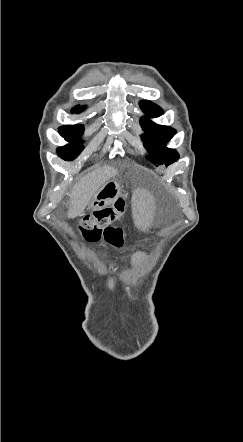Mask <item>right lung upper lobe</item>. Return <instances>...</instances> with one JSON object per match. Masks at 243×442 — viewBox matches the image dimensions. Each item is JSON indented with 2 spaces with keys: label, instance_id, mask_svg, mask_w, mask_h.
I'll use <instances>...</instances> for the list:
<instances>
[{
  "label": "right lung upper lobe",
  "instance_id": "cb5924a9",
  "mask_svg": "<svg viewBox=\"0 0 243 442\" xmlns=\"http://www.w3.org/2000/svg\"><path fill=\"white\" fill-rule=\"evenodd\" d=\"M82 110H83V108H79L78 106H75V107L72 109V112H75V111L80 112V111H82Z\"/></svg>",
  "mask_w": 243,
  "mask_h": 442
}]
</instances>
